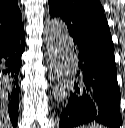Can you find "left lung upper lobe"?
I'll list each match as a JSON object with an SVG mask.
<instances>
[{
  "instance_id": "1",
  "label": "left lung upper lobe",
  "mask_w": 125,
  "mask_h": 128,
  "mask_svg": "<svg viewBox=\"0 0 125 128\" xmlns=\"http://www.w3.org/2000/svg\"><path fill=\"white\" fill-rule=\"evenodd\" d=\"M52 17L65 21L73 40L114 50L104 10L98 0H48Z\"/></svg>"
}]
</instances>
